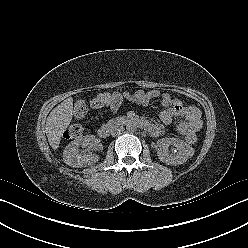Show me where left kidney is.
Listing matches in <instances>:
<instances>
[{"mask_svg":"<svg viewBox=\"0 0 248 248\" xmlns=\"http://www.w3.org/2000/svg\"><path fill=\"white\" fill-rule=\"evenodd\" d=\"M170 146L175 147L176 152L170 153ZM156 147L158 158L167 165L183 164L194 154L192 146L178 138L159 139Z\"/></svg>","mask_w":248,"mask_h":248,"instance_id":"5707ae66","label":"left kidney"}]
</instances>
